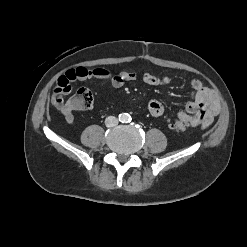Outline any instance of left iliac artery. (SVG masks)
<instances>
[{"label": "left iliac artery", "instance_id": "obj_1", "mask_svg": "<svg viewBox=\"0 0 247 247\" xmlns=\"http://www.w3.org/2000/svg\"><path fill=\"white\" fill-rule=\"evenodd\" d=\"M131 121V117H129V120H128V122H130Z\"/></svg>", "mask_w": 247, "mask_h": 247}]
</instances>
